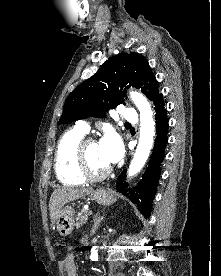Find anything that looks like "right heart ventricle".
<instances>
[{
    "label": "right heart ventricle",
    "mask_w": 221,
    "mask_h": 276,
    "mask_svg": "<svg viewBox=\"0 0 221 276\" xmlns=\"http://www.w3.org/2000/svg\"><path fill=\"white\" fill-rule=\"evenodd\" d=\"M85 133L78 128L66 131L58 141L55 153V170L59 180L67 185L85 182L78 169L76 150Z\"/></svg>",
    "instance_id": "1"
}]
</instances>
